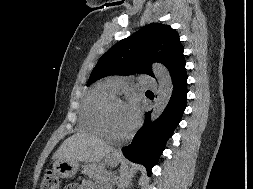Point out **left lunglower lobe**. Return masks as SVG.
<instances>
[{
  "instance_id": "obj_1",
  "label": "left lung lower lobe",
  "mask_w": 253,
  "mask_h": 189,
  "mask_svg": "<svg viewBox=\"0 0 253 189\" xmlns=\"http://www.w3.org/2000/svg\"><path fill=\"white\" fill-rule=\"evenodd\" d=\"M172 81L174 84L173 92L162 115L155 122L149 123L151 112H148L144 127L137 132L131 144L122 148L123 154L128 159L146 167L149 176L186 108L187 74L185 61L172 74Z\"/></svg>"
}]
</instances>
